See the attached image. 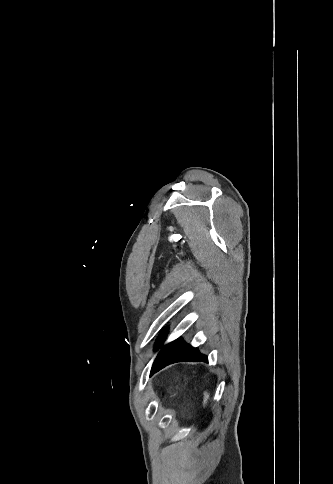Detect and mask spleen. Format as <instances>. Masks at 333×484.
Masks as SVG:
<instances>
[{
    "mask_svg": "<svg viewBox=\"0 0 333 484\" xmlns=\"http://www.w3.org/2000/svg\"><path fill=\"white\" fill-rule=\"evenodd\" d=\"M209 399V394L207 392L204 393V401H203V404L206 405L207 404V401Z\"/></svg>",
    "mask_w": 333,
    "mask_h": 484,
    "instance_id": "spleen-1",
    "label": "spleen"
}]
</instances>
